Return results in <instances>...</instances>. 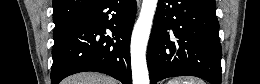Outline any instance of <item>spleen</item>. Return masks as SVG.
<instances>
[{
  "mask_svg": "<svg viewBox=\"0 0 260 84\" xmlns=\"http://www.w3.org/2000/svg\"><path fill=\"white\" fill-rule=\"evenodd\" d=\"M167 84H205V82L197 77H184L171 79Z\"/></svg>",
  "mask_w": 260,
  "mask_h": 84,
  "instance_id": "obj_1",
  "label": "spleen"
}]
</instances>
